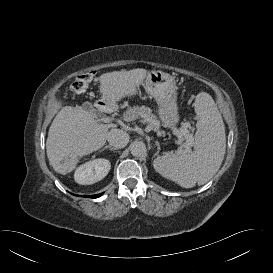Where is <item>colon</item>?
I'll use <instances>...</instances> for the list:
<instances>
[{"mask_svg": "<svg viewBox=\"0 0 273 273\" xmlns=\"http://www.w3.org/2000/svg\"><path fill=\"white\" fill-rule=\"evenodd\" d=\"M94 76V72H87L84 75L79 76L71 85L72 91L77 94L85 92Z\"/></svg>", "mask_w": 273, "mask_h": 273, "instance_id": "1", "label": "colon"}]
</instances>
